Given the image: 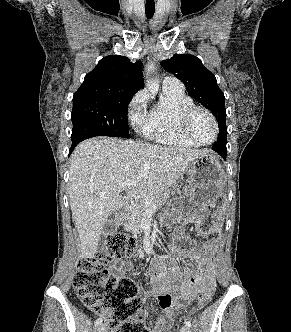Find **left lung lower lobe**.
<instances>
[{"mask_svg": "<svg viewBox=\"0 0 291 332\" xmlns=\"http://www.w3.org/2000/svg\"><path fill=\"white\" fill-rule=\"evenodd\" d=\"M212 149L219 153L225 160L227 155L226 145L224 144H215L212 146Z\"/></svg>", "mask_w": 291, "mask_h": 332, "instance_id": "1", "label": "left lung lower lobe"}]
</instances>
